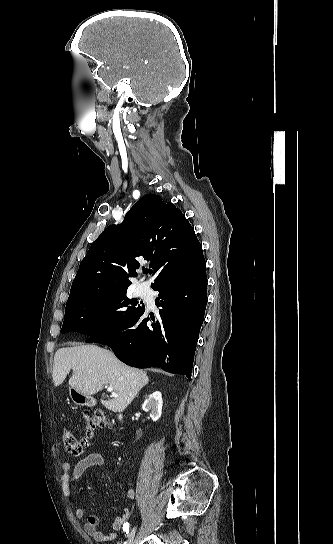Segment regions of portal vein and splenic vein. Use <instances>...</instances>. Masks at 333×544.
Masks as SVG:
<instances>
[{
	"label": "portal vein and splenic vein",
	"mask_w": 333,
	"mask_h": 544,
	"mask_svg": "<svg viewBox=\"0 0 333 544\" xmlns=\"http://www.w3.org/2000/svg\"><path fill=\"white\" fill-rule=\"evenodd\" d=\"M107 391H108V392H112V395H113V396H115V397H117V396H118L117 394H115V393H114V391H113V388H112V387H108V388H107Z\"/></svg>",
	"instance_id": "obj_1"
}]
</instances>
